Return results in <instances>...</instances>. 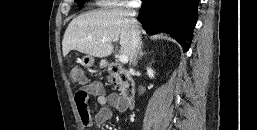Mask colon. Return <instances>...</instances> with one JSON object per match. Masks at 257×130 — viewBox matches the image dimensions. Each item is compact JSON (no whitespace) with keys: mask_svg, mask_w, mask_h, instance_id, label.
<instances>
[{"mask_svg":"<svg viewBox=\"0 0 257 130\" xmlns=\"http://www.w3.org/2000/svg\"><path fill=\"white\" fill-rule=\"evenodd\" d=\"M70 78L73 82L78 84H83L86 80L83 70L78 66L72 67L70 71Z\"/></svg>","mask_w":257,"mask_h":130,"instance_id":"5ec220e1","label":"colon"}]
</instances>
